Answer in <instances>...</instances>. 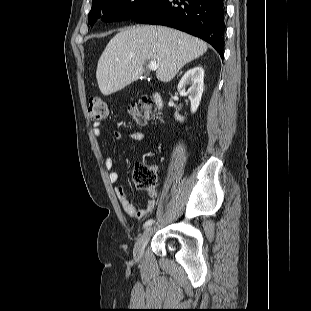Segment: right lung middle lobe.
<instances>
[{"label":"right lung middle lobe","mask_w":311,"mask_h":311,"mask_svg":"<svg viewBox=\"0 0 311 311\" xmlns=\"http://www.w3.org/2000/svg\"><path fill=\"white\" fill-rule=\"evenodd\" d=\"M158 0H96L92 3L88 23L98 19L106 22L131 19Z\"/></svg>","instance_id":"dd1d6c3e"}]
</instances>
